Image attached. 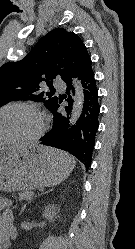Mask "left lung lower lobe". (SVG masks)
<instances>
[{
	"mask_svg": "<svg viewBox=\"0 0 135 249\" xmlns=\"http://www.w3.org/2000/svg\"><path fill=\"white\" fill-rule=\"evenodd\" d=\"M78 80H80L84 93V104L79 119L76 124L70 127L69 114L74 102L71 93L74 94L75 90L72 83L69 82L67 83V96L59 98L51 111L54 115L53 129L41 138V144L71 153L88 169L95 146V135L99 127L98 117L100 112L98 89L92 70V62L88 64L84 72L78 77ZM63 99L68 102V106L65 107L66 113L59 110Z\"/></svg>",
	"mask_w": 135,
	"mask_h": 249,
	"instance_id": "0a47b994",
	"label": "left lung lower lobe"
}]
</instances>
